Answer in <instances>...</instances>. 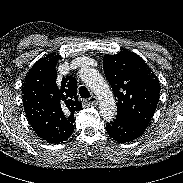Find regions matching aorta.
Segmentation results:
<instances>
[{
  "label": "aorta",
  "instance_id": "1",
  "mask_svg": "<svg viewBox=\"0 0 183 183\" xmlns=\"http://www.w3.org/2000/svg\"><path fill=\"white\" fill-rule=\"evenodd\" d=\"M82 81L97 95L101 116L106 121H111L116 115V101L114 95L100 73L90 67H83L79 71Z\"/></svg>",
  "mask_w": 183,
  "mask_h": 183
}]
</instances>
